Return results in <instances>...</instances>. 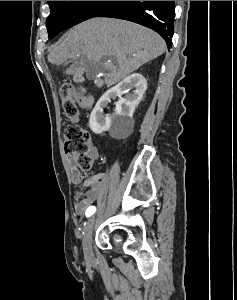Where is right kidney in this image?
Masks as SVG:
<instances>
[{"instance_id": "obj_1", "label": "right kidney", "mask_w": 237, "mask_h": 300, "mask_svg": "<svg viewBox=\"0 0 237 300\" xmlns=\"http://www.w3.org/2000/svg\"><path fill=\"white\" fill-rule=\"evenodd\" d=\"M146 89L147 81L140 73H133V75H129V77H126L124 81H120L112 89H108L97 101L90 115L89 127L91 131L95 135H101L104 131H109L112 119H116V117H132ZM111 99H117L113 117L103 115V109L107 107L108 103H111Z\"/></svg>"}]
</instances>
